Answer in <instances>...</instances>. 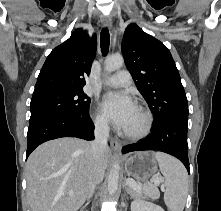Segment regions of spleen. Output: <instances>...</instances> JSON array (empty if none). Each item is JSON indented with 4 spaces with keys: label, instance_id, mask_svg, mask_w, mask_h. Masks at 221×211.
Masks as SVG:
<instances>
[{
    "label": "spleen",
    "instance_id": "obj_1",
    "mask_svg": "<svg viewBox=\"0 0 221 211\" xmlns=\"http://www.w3.org/2000/svg\"><path fill=\"white\" fill-rule=\"evenodd\" d=\"M161 173L164 176V202L170 211H183L188 194V174L185 167L176 158L162 152L154 154ZM143 192L157 199L160 192L156 185L145 183Z\"/></svg>",
    "mask_w": 221,
    "mask_h": 211
}]
</instances>
